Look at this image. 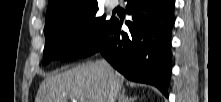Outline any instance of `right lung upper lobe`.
Here are the masks:
<instances>
[{
  "label": "right lung upper lobe",
  "instance_id": "right-lung-upper-lobe-1",
  "mask_svg": "<svg viewBox=\"0 0 221 102\" xmlns=\"http://www.w3.org/2000/svg\"><path fill=\"white\" fill-rule=\"evenodd\" d=\"M93 2H97V0H49L46 20L65 8L84 6Z\"/></svg>",
  "mask_w": 221,
  "mask_h": 102
}]
</instances>
